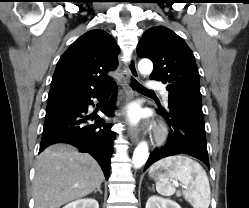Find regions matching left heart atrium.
<instances>
[{
    "mask_svg": "<svg viewBox=\"0 0 249 208\" xmlns=\"http://www.w3.org/2000/svg\"><path fill=\"white\" fill-rule=\"evenodd\" d=\"M127 118L128 121L132 124H135L140 119V113L139 110L135 107H131L127 110Z\"/></svg>",
    "mask_w": 249,
    "mask_h": 208,
    "instance_id": "left-heart-atrium-1",
    "label": "left heart atrium"
}]
</instances>
